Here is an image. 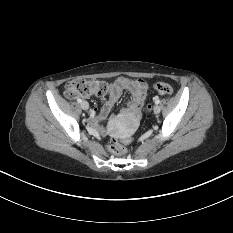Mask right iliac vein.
<instances>
[{"label":"right iliac vein","mask_w":233,"mask_h":233,"mask_svg":"<svg viewBox=\"0 0 233 233\" xmlns=\"http://www.w3.org/2000/svg\"><path fill=\"white\" fill-rule=\"evenodd\" d=\"M81 108L83 110H88L89 109V104L86 101L81 102Z\"/></svg>","instance_id":"obj_1"}]
</instances>
